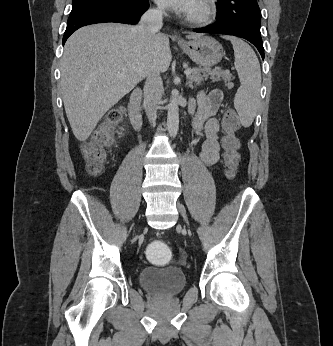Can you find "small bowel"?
I'll return each mask as SVG.
<instances>
[{
  "instance_id": "obj_1",
  "label": "small bowel",
  "mask_w": 333,
  "mask_h": 346,
  "mask_svg": "<svg viewBox=\"0 0 333 346\" xmlns=\"http://www.w3.org/2000/svg\"><path fill=\"white\" fill-rule=\"evenodd\" d=\"M223 95L219 89L210 92L201 91L195 99L192 100L191 110L193 117V131L199 135L202 131L205 134V140L202 143L200 157L202 161L212 166L219 160L220 142L218 132L220 122L215 114L221 104Z\"/></svg>"
}]
</instances>
